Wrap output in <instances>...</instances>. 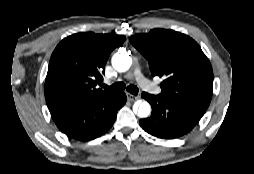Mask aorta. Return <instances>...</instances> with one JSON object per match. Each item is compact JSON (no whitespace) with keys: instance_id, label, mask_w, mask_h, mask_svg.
I'll return each mask as SVG.
<instances>
[{"instance_id":"aorta-1","label":"aorta","mask_w":254,"mask_h":174,"mask_svg":"<svg viewBox=\"0 0 254 174\" xmlns=\"http://www.w3.org/2000/svg\"><path fill=\"white\" fill-rule=\"evenodd\" d=\"M132 64V58L125 52L115 53L112 57V66L118 72L127 71ZM151 113V106L148 102L144 101L139 105L137 115L140 118H147Z\"/></svg>"}]
</instances>
